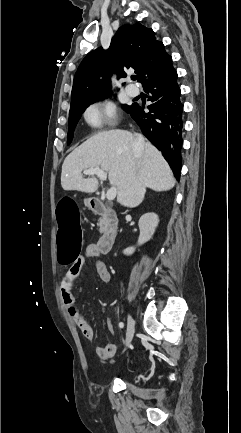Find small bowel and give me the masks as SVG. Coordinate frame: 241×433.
<instances>
[{
  "instance_id": "1",
  "label": "small bowel",
  "mask_w": 241,
  "mask_h": 433,
  "mask_svg": "<svg viewBox=\"0 0 241 433\" xmlns=\"http://www.w3.org/2000/svg\"><path fill=\"white\" fill-rule=\"evenodd\" d=\"M99 256L100 252L98 250L97 244L89 245L86 249L85 255L83 257H79L77 261H74V264L71 265V267L67 271V273L71 272L73 274V277L71 279H68L65 275L61 283V296L67 313L76 324V326L79 328L84 338L87 340H92L94 338V329L80 313L79 309L75 304L72 291H69L67 289L65 283L67 281H70L72 285H74V282L76 281L86 259H91L93 261L96 271L102 281H110V271L107 265L99 259ZM107 326L108 329L113 332V324L109 319L107 320ZM95 352L100 360L107 361L115 355L116 345L113 343H109L105 346H98L96 347Z\"/></svg>"
}]
</instances>
